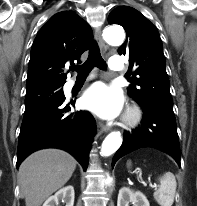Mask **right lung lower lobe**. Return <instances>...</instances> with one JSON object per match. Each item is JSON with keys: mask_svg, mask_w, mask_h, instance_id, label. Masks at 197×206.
I'll return each instance as SVG.
<instances>
[{"mask_svg": "<svg viewBox=\"0 0 197 206\" xmlns=\"http://www.w3.org/2000/svg\"><path fill=\"white\" fill-rule=\"evenodd\" d=\"M64 101L65 97L24 113L18 141L17 167L36 150L59 148L73 155L86 170L96 122L87 111L69 113L75 103L66 104Z\"/></svg>", "mask_w": 197, "mask_h": 206, "instance_id": "obj_1", "label": "right lung lower lobe"}]
</instances>
